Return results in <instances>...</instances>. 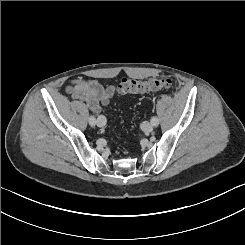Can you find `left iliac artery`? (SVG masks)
<instances>
[{
  "mask_svg": "<svg viewBox=\"0 0 245 245\" xmlns=\"http://www.w3.org/2000/svg\"><path fill=\"white\" fill-rule=\"evenodd\" d=\"M151 123H152L154 126H157V125H158V123H159L158 118H157V117H155V116H153V117L151 118Z\"/></svg>",
  "mask_w": 245,
  "mask_h": 245,
  "instance_id": "obj_1",
  "label": "left iliac artery"
}]
</instances>
